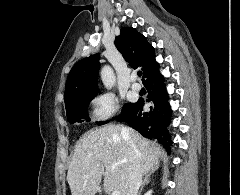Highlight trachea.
<instances>
[{"instance_id": "3493384b", "label": "trachea", "mask_w": 240, "mask_h": 195, "mask_svg": "<svg viewBox=\"0 0 240 195\" xmlns=\"http://www.w3.org/2000/svg\"><path fill=\"white\" fill-rule=\"evenodd\" d=\"M137 75H138V77H141L142 72L141 71L137 72Z\"/></svg>"}]
</instances>
